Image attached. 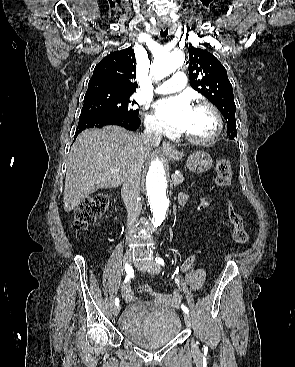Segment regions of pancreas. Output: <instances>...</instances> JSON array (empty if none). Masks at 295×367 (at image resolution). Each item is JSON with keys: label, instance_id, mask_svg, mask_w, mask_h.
Instances as JSON below:
<instances>
[{"label": "pancreas", "instance_id": "obj_1", "mask_svg": "<svg viewBox=\"0 0 295 367\" xmlns=\"http://www.w3.org/2000/svg\"><path fill=\"white\" fill-rule=\"evenodd\" d=\"M183 181H184V177L181 173L177 174V175H174V177H172V184L174 186H177V185L181 184Z\"/></svg>", "mask_w": 295, "mask_h": 367}]
</instances>
